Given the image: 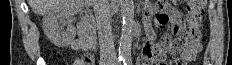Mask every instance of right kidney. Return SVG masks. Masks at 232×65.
I'll return each mask as SVG.
<instances>
[{
  "label": "right kidney",
  "instance_id": "1",
  "mask_svg": "<svg viewBox=\"0 0 232 65\" xmlns=\"http://www.w3.org/2000/svg\"><path fill=\"white\" fill-rule=\"evenodd\" d=\"M76 13L71 0H64L61 4L51 8L43 18V30L49 40L57 47L68 46L75 38L76 31L72 25L63 30L60 22L69 19Z\"/></svg>",
  "mask_w": 232,
  "mask_h": 65
}]
</instances>
